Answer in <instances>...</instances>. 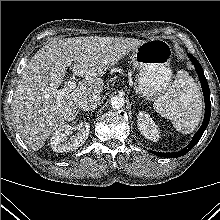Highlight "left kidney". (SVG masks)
I'll return each instance as SVG.
<instances>
[{
	"label": "left kidney",
	"instance_id": "left-kidney-1",
	"mask_svg": "<svg viewBox=\"0 0 220 220\" xmlns=\"http://www.w3.org/2000/svg\"><path fill=\"white\" fill-rule=\"evenodd\" d=\"M137 124L139 131L145 138L152 141L158 140L159 131L150 115L142 111L139 112L137 116Z\"/></svg>",
	"mask_w": 220,
	"mask_h": 220
}]
</instances>
